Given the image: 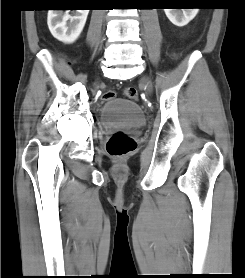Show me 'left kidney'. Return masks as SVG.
Wrapping results in <instances>:
<instances>
[{
	"label": "left kidney",
	"instance_id": "left-kidney-1",
	"mask_svg": "<svg viewBox=\"0 0 245 278\" xmlns=\"http://www.w3.org/2000/svg\"><path fill=\"white\" fill-rule=\"evenodd\" d=\"M198 8L193 9H164L168 19L176 26L187 25L198 13Z\"/></svg>",
	"mask_w": 245,
	"mask_h": 278
}]
</instances>
